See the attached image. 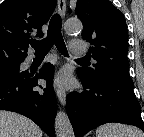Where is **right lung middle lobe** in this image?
<instances>
[{
	"label": "right lung middle lobe",
	"instance_id": "dd1d6c3e",
	"mask_svg": "<svg viewBox=\"0 0 144 137\" xmlns=\"http://www.w3.org/2000/svg\"><path fill=\"white\" fill-rule=\"evenodd\" d=\"M22 71H20V64H17L15 66H12L10 68H7L5 70L0 71V77L4 76H15L20 74Z\"/></svg>",
	"mask_w": 144,
	"mask_h": 137
}]
</instances>
